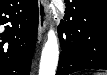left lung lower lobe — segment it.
<instances>
[{
    "mask_svg": "<svg viewBox=\"0 0 107 75\" xmlns=\"http://www.w3.org/2000/svg\"><path fill=\"white\" fill-rule=\"evenodd\" d=\"M93 1H65L66 21L58 26L62 52L56 75H69L83 69H107V10L98 9L82 14L81 22L86 38L76 36L70 16L80 5L91 4Z\"/></svg>",
    "mask_w": 107,
    "mask_h": 75,
    "instance_id": "1",
    "label": "left lung lower lobe"
}]
</instances>
